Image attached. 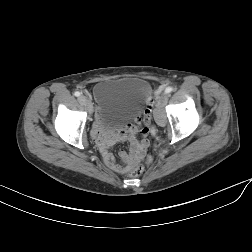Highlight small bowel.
Wrapping results in <instances>:
<instances>
[{
    "label": "small bowel",
    "mask_w": 252,
    "mask_h": 252,
    "mask_svg": "<svg viewBox=\"0 0 252 252\" xmlns=\"http://www.w3.org/2000/svg\"><path fill=\"white\" fill-rule=\"evenodd\" d=\"M150 90V87H148ZM142 117L136 113L133 116V123H127L119 126L110 133L102 135L100 128L102 122L98 119L93 136L100 142L103 149V157L106 165L113 171L125 173L136 163L144 159L145 153L149 147V134L154 132L152 125L144 124L142 126ZM140 136V139H139ZM127 141L130 145V153L121 151L119 157L122 164L117 163L109 152V148L118 141ZM148 161V160H147Z\"/></svg>",
    "instance_id": "small-bowel-1"
}]
</instances>
